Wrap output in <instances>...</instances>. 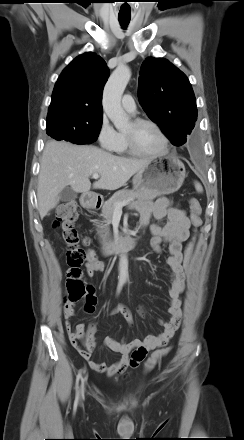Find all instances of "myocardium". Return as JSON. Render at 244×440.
I'll return each instance as SVG.
<instances>
[{"mask_svg":"<svg viewBox=\"0 0 244 440\" xmlns=\"http://www.w3.org/2000/svg\"><path fill=\"white\" fill-rule=\"evenodd\" d=\"M132 124L134 126H140V125L153 126L159 132V134L163 138V142H164V145H163V148L161 151H159L157 153H148V152L143 151L138 146V144L132 134L124 132L126 142H127L132 153H134L136 155H140V156L153 157V156L164 155L170 150V146H171L170 139H169L167 133L165 132V130L163 129V127L159 123H157L156 121L149 119V118H136L132 121Z\"/></svg>","mask_w":244,"mask_h":440,"instance_id":"myocardium-1","label":"myocardium"}]
</instances>
